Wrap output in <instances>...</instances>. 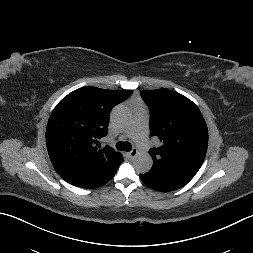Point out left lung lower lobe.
<instances>
[{"mask_svg":"<svg viewBox=\"0 0 253 253\" xmlns=\"http://www.w3.org/2000/svg\"><path fill=\"white\" fill-rule=\"evenodd\" d=\"M139 177L147 186L161 192L179 189L190 181L184 178L154 172L140 174Z\"/></svg>","mask_w":253,"mask_h":253,"instance_id":"left-lung-lower-lobe-1","label":"left lung lower lobe"}]
</instances>
